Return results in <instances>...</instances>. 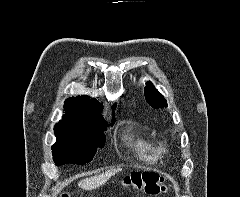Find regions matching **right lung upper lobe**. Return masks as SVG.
Masks as SVG:
<instances>
[{
  "label": "right lung upper lobe",
  "mask_w": 240,
  "mask_h": 197,
  "mask_svg": "<svg viewBox=\"0 0 240 197\" xmlns=\"http://www.w3.org/2000/svg\"><path fill=\"white\" fill-rule=\"evenodd\" d=\"M102 107L97 99L90 98L89 96L82 95L68 98L64 104L65 116L56 125L73 127L106 125V121L99 113Z\"/></svg>",
  "instance_id": "cb5924a9"
}]
</instances>
